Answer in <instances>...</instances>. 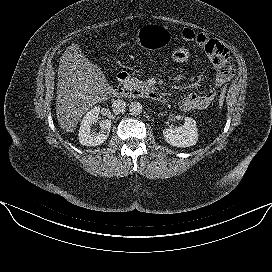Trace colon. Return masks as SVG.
Listing matches in <instances>:
<instances>
[{"label": "colon", "mask_w": 272, "mask_h": 272, "mask_svg": "<svg viewBox=\"0 0 272 272\" xmlns=\"http://www.w3.org/2000/svg\"><path fill=\"white\" fill-rule=\"evenodd\" d=\"M170 57L174 62L187 63L191 59V51L186 47H175L170 53ZM227 93V88H223L218 98V107L221 108L224 104V98Z\"/></svg>", "instance_id": "5ec220e1"}]
</instances>
